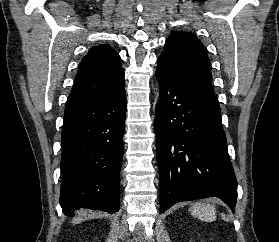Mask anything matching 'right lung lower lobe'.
Returning <instances> with one entry per match:
<instances>
[{"label": "right lung lower lobe", "instance_id": "98d812e1", "mask_svg": "<svg viewBox=\"0 0 279 242\" xmlns=\"http://www.w3.org/2000/svg\"><path fill=\"white\" fill-rule=\"evenodd\" d=\"M126 93L66 104L61 135L60 204L67 216L80 207L119 210Z\"/></svg>", "mask_w": 279, "mask_h": 242}]
</instances>
